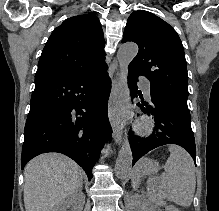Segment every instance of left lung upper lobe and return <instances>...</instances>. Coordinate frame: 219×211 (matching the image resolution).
Returning a JSON list of instances; mask_svg holds the SVG:
<instances>
[{
  "mask_svg": "<svg viewBox=\"0 0 219 211\" xmlns=\"http://www.w3.org/2000/svg\"><path fill=\"white\" fill-rule=\"evenodd\" d=\"M127 41L139 46L129 72L145 76L155 94H162L188 108L187 65L176 31L156 15L137 10L127 20L122 42Z\"/></svg>",
  "mask_w": 219,
  "mask_h": 211,
  "instance_id": "1",
  "label": "left lung upper lobe"
}]
</instances>
